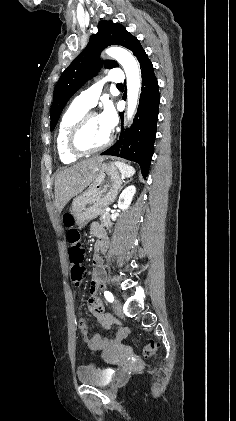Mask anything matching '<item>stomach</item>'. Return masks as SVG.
Returning <instances> with one entry per match:
<instances>
[{"label": "stomach", "mask_w": 236, "mask_h": 421, "mask_svg": "<svg viewBox=\"0 0 236 421\" xmlns=\"http://www.w3.org/2000/svg\"><path fill=\"white\" fill-rule=\"evenodd\" d=\"M121 184L122 174L115 162H101L86 184L87 190L73 198L71 215L78 229L96 219L105 206L114 202Z\"/></svg>", "instance_id": "stomach-1"}]
</instances>
